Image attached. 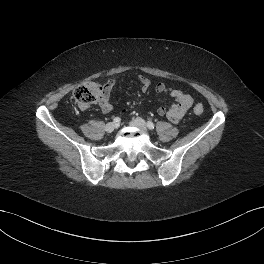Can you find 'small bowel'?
Segmentation results:
<instances>
[{"mask_svg": "<svg viewBox=\"0 0 264 264\" xmlns=\"http://www.w3.org/2000/svg\"><path fill=\"white\" fill-rule=\"evenodd\" d=\"M139 81L141 84L142 91H147L151 85L150 80L147 77L140 76ZM115 85L113 79H109L104 87L105 92L102 98L99 100L98 104L101 110L108 113L112 110V105L109 102V94ZM155 90L159 94H167L172 97L175 102L170 106H161L158 108L157 113L160 116L167 117L171 122L178 123L184 117L186 112L190 109L193 104V99L190 95L182 92L181 90L171 88L164 83H158Z\"/></svg>", "mask_w": 264, "mask_h": 264, "instance_id": "c3829d8e", "label": "small bowel"}]
</instances>
